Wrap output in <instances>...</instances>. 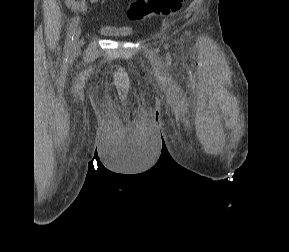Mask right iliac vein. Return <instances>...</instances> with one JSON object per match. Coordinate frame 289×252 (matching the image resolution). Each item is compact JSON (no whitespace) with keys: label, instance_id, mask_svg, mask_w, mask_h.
<instances>
[{"label":"right iliac vein","instance_id":"63e3f726","mask_svg":"<svg viewBox=\"0 0 289 252\" xmlns=\"http://www.w3.org/2000/svg\"><path fill=\"white\" fill-rule=\"evenodd\" d=\"M80 36H81V29L78 28L76 30V33H75V39H74V44H73V52H77L80 48Z\"/></svg>","mask_w":289,"mask_h":252}]
</instances>
